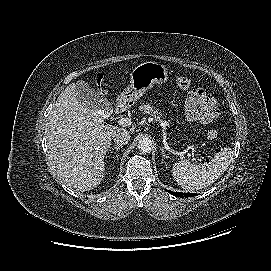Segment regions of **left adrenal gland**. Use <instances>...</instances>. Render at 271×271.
Here are the masks:
<instances>
[{"mask_svg":"<svg viewBox=\"0 0 271 271\" xmlns=\"http://www.w3.org/2000/svg\"><path fill=\"white\" fill-rule=\"evenodd\" d=\"M160 150H161V152H162V156H163L164 158H168V156L165 154L164 148H163V147H160Z\"/></svg>","mask_w":271,"mask_h":271,"instance_id":"a2214340","label":"left adrenal gland"}]
</instances>
